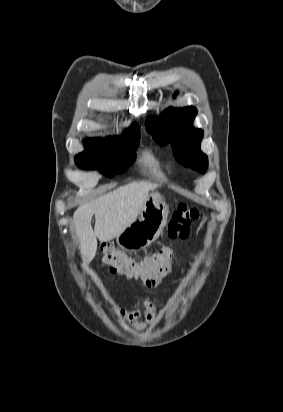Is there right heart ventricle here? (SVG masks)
Listing matches in <instances>:
<instances>
[{"label":"right heart ventricle","instance_id":"obj_1","mask_svg":"<svg viewBox=\"0 0 283 412\" xmlns=\"http://www.w3.org/2000/svg\"><path fill=\"white\" fill-rule=\"evenodd\" d=\"M141 163L157 179L165 178V169L157 156L150 150L145 151L141 156Z\"/></svg>","mask_w":283,"mask_h":412}]
</instances>
